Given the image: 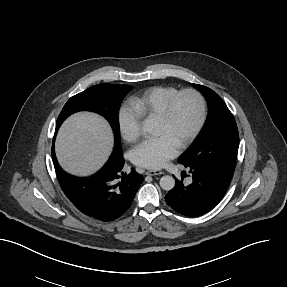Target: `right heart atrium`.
<instances>
[{
    "mask_svg": "<svg viewBox=\"0 0 287 287\" xmlns=\"http://www.w3.org/2000/svg\"><path fill=\"white\" fill-rule=\"evenodd\" d=\"M118 125L122 138L133 143L141 136L142 124L137 114L128 107H122L118 112Z\"/></svg>",
    "mask_w": 287,
    "mask_h": 287,
    "instance_id": "1",
    "label": "right heart atrium"
}]
</instances>
